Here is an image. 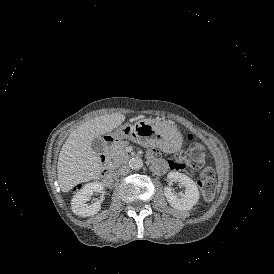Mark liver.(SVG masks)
Returning a JSON list of instances; mask_svg holds the SVG:
<instances>
[{
    "mask_svg": "<svg viewBox=\"0 0 274 274\" xmlns=\"http://www.w3.org/2000/svg\"><path fill=\"white\" fill-rule=\"evenodd\" d=\"M123 120L124 116L120 113L103 115L85 122L70 134L58 158V182L61 191L67 192L75 185L99 175V155L94 152L90 142L94 137L117 127Z\"/></svg>",
    "mask_w": 274,
    "mask_h": 274,
    "instance_id": "liver-1",
    "label": "liver"
}]
</instances>
